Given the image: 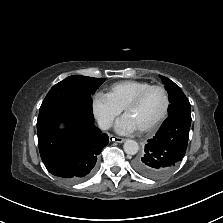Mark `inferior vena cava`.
<instances>
[{
	"label": "inferior vena cava",
	"mask_w": 223,
	"mask_h": 223,
	"mask_svg": "<svg viewBox=\"0 0 223 223\" xmlns=\"http://www.w3.org/2000/svg\"><path fill=\"white\" fill-rule=\"evenodd\" d=\"M98 125L101 130H108L112 127V122L108 119H99Z\"/></svg>",
	"instance_id": "1"
}]
</instances>
